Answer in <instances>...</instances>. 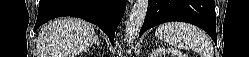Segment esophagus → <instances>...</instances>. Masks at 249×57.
<instances>
[{
    "label": "esophagus",
    "instance_id": "obj_1",
    "mask_svg": "<svg viewBox=\"0 0 249 57\" xmlns=\"http://www.w3.org/2000/svg\"><path fill=\"white\" fill-rule=\"evenodd\" d=\"M134 0H129L130 3H132Z\"/></svg>",
    "mask_w": 249,
    "mask_h": 57
}]
</instances>
